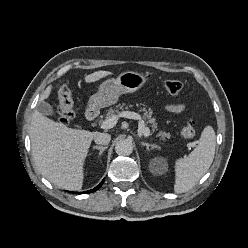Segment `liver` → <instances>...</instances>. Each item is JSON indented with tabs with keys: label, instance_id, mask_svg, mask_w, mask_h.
I'll return each mask as SVG.
<instances>
[{
	"label": "liver",
	"instance_id": "1",
	"mask_svg": "<svg viewBox=\"0 0 248 248\" xmlns=\"http://www.w3.org/2000/svg\"><path fill=\"white\" fill-rule=\"evenodd\" d=\"M111 74L109 71H96L87 75L85 82L92 83ZM52 88H46L40 97L41 101L49 97ZM96 133L68 128L35 110L29 135L38 171L59 188L80 190L84 179V162Z\"/></svg>",
	"mask_w": 248,
	"mask_h": 248
}]
</instances>
